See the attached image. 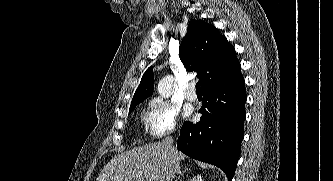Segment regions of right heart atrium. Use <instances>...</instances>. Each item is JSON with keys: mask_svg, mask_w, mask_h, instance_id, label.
Here are the masks:
<instances>
[{"mask_svg": "<svg viewBox=\"0 0 333 181\" xmlns=\"http://www.w3.org/2000/svg\"><path fill=\"white\" fill-rule=\"evenodd\" d=\"M178 108L164 100L161 97L152 99L149 102L148 112L145 122L149 130V134L154 138L175 130L177 124Z\"/></svg>", "mask_w": 333, "mask_h": 181, "instance_id": "right-heart-atrium-1", "label": "right heart atrium"}]
</instances>
